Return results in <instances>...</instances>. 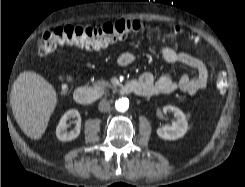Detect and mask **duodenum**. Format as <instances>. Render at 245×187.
I'll list each match as a JSON object with an SVG mask.
<instances>
[{
	"instance_id": "obj_1",
	"label": "duodenum",
	"mask_w": 245,
	"mask_h": 187,
	"mask_svg": "<svg viewBox=\"0 0 245 187\" xmlns=\"http://www.w3.org/2000/svg\"><path fill=\"white\" fill-rule=\"evenodd\" d=\"M120 91L123 94L142 96L144 87L138 80L131 79L120 87ZM73 97L78 104L86 105L95 102L100 97V92L95 87L80 86L75 89Z\"/></svg>"
}]
</instances>
